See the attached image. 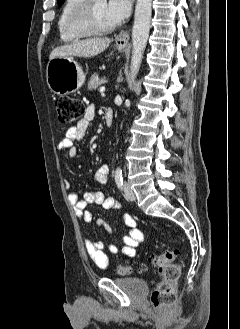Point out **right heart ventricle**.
Returning <instances> with one entry per match:
<instances>
[{"label":"right heart ventricle","mask_w":240,"mask_h":329,"mask_svg":"<svg viewBox=\"0 0 240 329\" xmlns=\"http://www.w3.org/2000/svg\"><path fill=\"white\" fill-rule=\"evenodd\" d=\"M82 0H65L57 20V27L60 35V39L63 42L70 43L77 41L78 39L86 36H78L72 33L68 26L69 16L77 5H79Z\"/></svg>","instance_id":"1"}]
</instances>
